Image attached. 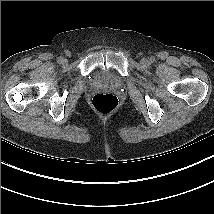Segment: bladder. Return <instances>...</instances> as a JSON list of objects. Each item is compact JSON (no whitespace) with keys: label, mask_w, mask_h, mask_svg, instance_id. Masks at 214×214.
Masks as SVG:
<instances>
[{"label":"bladder","mask_w":214,"mask_h":214,"mask_svg":"<svg viewBox=\"0 0 214 214\" xmlns=\"http://www.w3.org/2000/svg\"><path fill=\"white\" fill-rule=\"evenodd\" d=\"M91 81L94 84L105 82V83L118 85L120 83L119 79H117L114 76H112L109 72H103L100 75H94L91 78Z\"/></svg>","instance_id":"1"}]
</instances>
